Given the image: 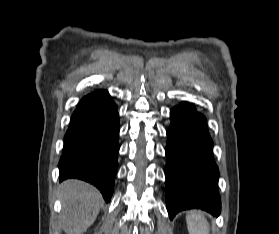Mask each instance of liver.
I'll use <instances>...</instances> for the list:
<instances>
[{
  "label": "liver",
  "mask_w": 279,
  "mask_h": 234,
  "mask_svg": "<svg viewBox=\"0 0 279 234\" xmlns=\"http://www.w3.org/2000/svg\"><path fill=\"white\" fill-rule=\"evenodd\" d=\"M61 227L67 234H83L95 221L103 199L92 185L80 180L61 184Z\"/></svg>",
  "instance_id": "1"
}]
</instances>
